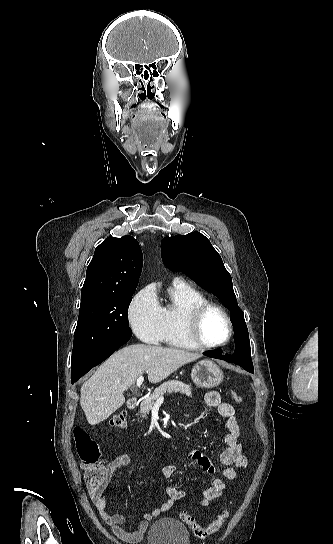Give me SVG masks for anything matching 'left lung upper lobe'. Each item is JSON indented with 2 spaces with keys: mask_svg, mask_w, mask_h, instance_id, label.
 I'll return each mask as SVG.
<instances>
[{
  "mask_svg": "<svg viewBox=\"0 0 333 544\" xmlns=\"http://www.w3.org/2000/svg\"><path fill=\"white\" fill-rule=\"evenodd\" d=\"M161 255L170 270L190 275L200 287L217 295L230 309L233 327L245 330L246 340L245 347L237 346L233 355L240 363L252 364L244 314L237 304L231 276L210 241L199 232L165 237L161 242Z\"/></svg>",
  "mask_w": 333,
  "mask_h": 544,
  "instance_id": "5c2ea615",
  "label": "left lung upper lobe"
}]
</instances>
